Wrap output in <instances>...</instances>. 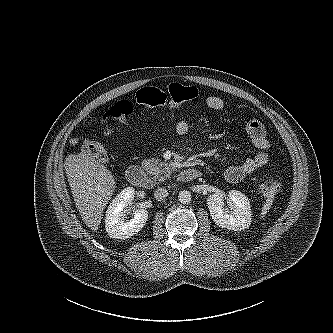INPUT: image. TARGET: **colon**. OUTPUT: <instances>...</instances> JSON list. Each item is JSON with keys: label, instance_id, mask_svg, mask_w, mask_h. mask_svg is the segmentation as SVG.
Returning a JSON list of instances; mask_svg holds the SVG:
<instances>
[{"label": "colon", "instance_id": "colon-1", "mask_svg": "<svg viewBox=\"0 0 333 333\" xmlns=\"http://www.w3.org/2000/svg\"><path fill=\"white\" fill-rule=\"evenodd\" d=\"M200 96V91L196 87L185 86L180 83H172L167 91L155 87L142 88L137 92L138 103L152 108L168 107L176 108L185 102L194 100ZM133 105L128 100H121L110 106L100 115L102 122H118L126 124L128 116L132 113ZM83 152L97 159L104 158V150L95 141H87L83 146ZM282 183L278 180H269L261 184L258 191L262 194H269L279 191Z\"/></svg>", "mask_w": 333, "mask_h": 333}]
</instances>
